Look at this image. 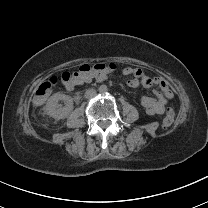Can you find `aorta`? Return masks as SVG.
Here are the masks:
<instances>
[{"label":"aorta","mask_w":208,"mask_h":208,"mask_svg":"<svg viewBox=\"0 0 208 208\" xmlns=\"http://www.w3.org/2000/svg\"><path fill=\"white\" fill-rule=\"evenodd\" d=\"M98 91H99L100 94L105 95V94L108 93L109 88H108L107 85L102 84V85L99 86Z\"/></svg>","instance_id":"1"}]
</instances>
